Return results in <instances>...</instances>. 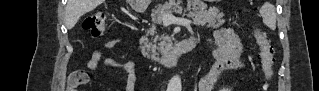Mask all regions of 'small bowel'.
Here are the masks:
<instances>
[{
    "mask_svg": "<svg viewBox=\"0 0 319 91\" xmlns=\"http://www.w3.org/2000/svg\"><path fill=\"white\" fill-rule=\"evenodd\" d=\"M215 47L213 55L217 63L199 81L198 91H212L214 85L228 71L242 67L241 55L243 45L239 35L231 27H220L214 31ZM122 45L119 39L107 40L106 49H115ZM89 70H98L102 66L125 70L128 74L126 90L130 91L136 73L132 62L118 61L108 57L100 50H94L86 64ZM87 75L83 72H75L71 78V84L77 85L87 81Z\"/></svg>",
    "mask_w": 319,
    "mask_h": 91,
    "instance_id": "1",
    "label": "small bowel"
}]
</instances>
